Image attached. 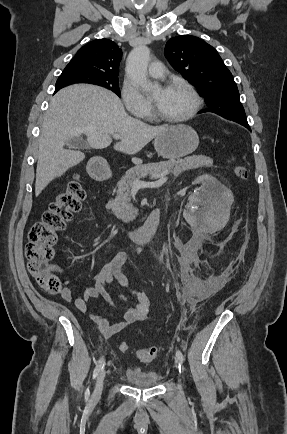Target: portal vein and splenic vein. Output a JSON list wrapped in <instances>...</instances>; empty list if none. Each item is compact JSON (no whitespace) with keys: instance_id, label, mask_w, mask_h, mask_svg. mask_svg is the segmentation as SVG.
<instances>
[{"instance_id":"portal-vein-and-splenic-vein-1","label":"portal vein and splenic vein","mask_w":287,"mask_h":434,"mask_svg":"<svg viewBox=\"0 0 287 434\" xmlns=\"http://www.w3.org/2000/svg\"><path fill=\"white\" fill-rule=\"evenodd\" d=\"M113 137L115 139H120V135L119 134H113ZM168 180L167 177V173H164L160 176V178L156 181H152V182H145V181H141V180H134L133 181V187L134 188H152V187H158L163 185L166 181Z\"/></svg>"}]
</instances>
